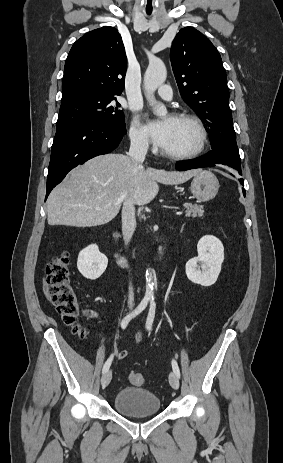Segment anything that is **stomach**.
I'll list each match as a JSON object with an SVG mask.
<instances>
[{"label":"stomach","instance_id":"1","mask_svg":"<svg viewBox=\"0 0 283 463\" xmlns=\"http://www.w3.org/2000/svg\"><path fill=\"white\" fill-rule=\"evenodd\" d=\"M190 190L200 202L212 200L219 190L217 177L208 170H201L194 176Z\"/></svg>","mask_w":283,"mask_h":463}]
</instances>
